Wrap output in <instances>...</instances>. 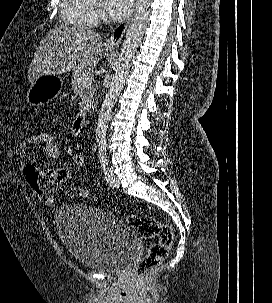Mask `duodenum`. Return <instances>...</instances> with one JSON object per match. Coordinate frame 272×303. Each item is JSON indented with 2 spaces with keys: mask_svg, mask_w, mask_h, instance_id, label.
I'll return each instance as SVG.
<instances>
[{
  "mask_svg": "<svg viewBox=\"0 0 272 303\" xmlns=\"http://www.w3.org/2000/svg\"><path fill=\"white\" fill-rule=\"evenodd\" d=\"M95 106H96V103L93 102V103L89 106V108H87V110L83 111V112L77 117V119H76V121H75V127H76L77 129H79L80 127H82V125L84 124V122H85V120H86V117H87L88 113H89L90 111H93V110L95 109Z\"/></svg>",
  "mask_w": 272,
  "mask_h": 303,
  "instance_id": "410a0bca",
  "label": "duodenum"
}]
</instances>
